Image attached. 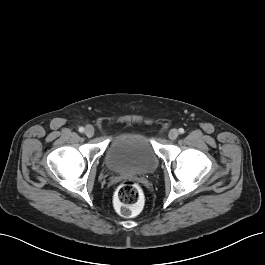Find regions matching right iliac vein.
I'll return each mask as SVG.
<instances>
[{
    "label": "right iliac vein",
    "instance_id": "obj_1",
    "mask_svg": "<svg viewBox=\"0 0 265 265\" xmlns=\"http://www.w3.org/2000/svg\"><path fill=\"white\" fill-rule=\"evenodd\" d=\"M85 135L87 137H92L94 135V128L91 126V125H88L86 128H85Z\"/></svg>",
    "mask_w": 265,
    "mask_h": 265
}]
</instances>
